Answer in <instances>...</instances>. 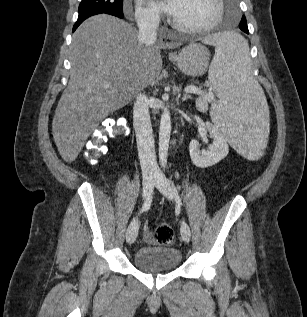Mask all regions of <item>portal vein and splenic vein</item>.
Returning a JSON list of instances; mask_svg holds the SVG:
<instances>
[{"instance_id": "18ae733b", "label": "portal vein and splenic vein", "mask_w": 307, "mask_h": 317, "mask_svg": "<svg viewBox=\"0 0 307 317\" xmlns=\"http://www.w3.org/2000/svg\"><path fill=\"white\" fill-rule=\"evenodd\" d=\"M104 87L109 88V85L105 84ZM185 91L189 92V93L197 94V95H203V97L206 100H214L215 99V95L212 91H209L207 94H203V91L201 90V88L194 86V85L187 86L185 88Z\"/></svg>"}]
</instances>
